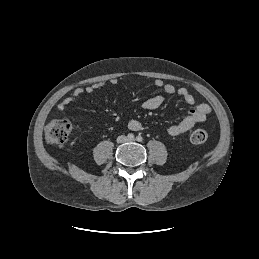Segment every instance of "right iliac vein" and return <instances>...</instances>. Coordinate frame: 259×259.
Segmentation results:
<instances>
[{"mask_svg": "<svg viewBox=\"0 0 259 259\" xmlns=\"http://www.w3.org/2000/svg\"><path fill=\"white\" fill-rule=\"evenodd\" d=\"M119 141H120V142H124V141H125V138H124V137H120V138H119Z\"/></svg>", "mask_w": 259, "mask_h": 259, "instance_id": "63e3f726", "label": "right iliac vein"}]
</instances>
